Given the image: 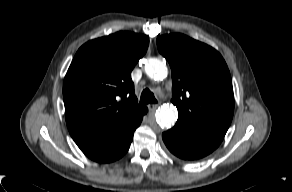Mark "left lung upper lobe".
<instances>
[{"instance_id": "obj_1", "label": "left lung upper lobe", "mask_w": 292, "mask_h": 192, "mask_svg": "<svg viewBox=\"0 0 292 192\" xmlns=\"http://www.w3.org/2000/svg\"><path fill=\"white\" fill-rule=\"evenodd\" d=\"M172 71L175 127L224 138L234 112L229 69L218 51L183 34L157 38Z\"/></svg>"}]
</instances>
